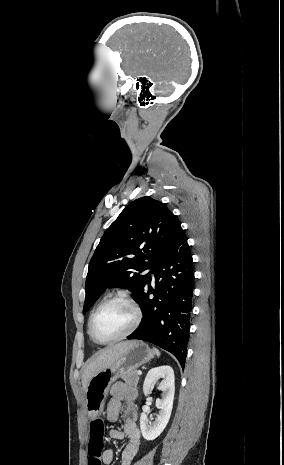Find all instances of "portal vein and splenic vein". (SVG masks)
Listing matches in <instances>:
<instances>
[{"instance_id": "1", "label": "portal vein and splenic vein", "mask_w": 284, "mask_h": 465, "mask_svg": "<svg viewBox=\"0 0 284 465\" xmlns=\"http://www.w3.org/2000/svg\"><path fill=\"white\" fill-rule=\"evenodd\" d=\"M137 375H142V371H137Z\"/></svg>"}]
</instances>
